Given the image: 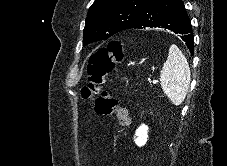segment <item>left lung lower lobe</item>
Instances as JSON below:
<instances>
[{
    "label": "left lung lower lobe",
    "mask_w": 227,
    "mask_h": 166,
    "mask_svg": "<svg viewBox=\"0 0 227 166\" xmlns=\"http://www.w3.org/2000/svg\"><path fill=\"white\" fill-rule=\"evenodd\" d=\"M164 28L185 42L194 53L192 27L182 0H147L131 29Z\"/></svg>",
    "instance_id": "obj_1"
}]
</instances>
